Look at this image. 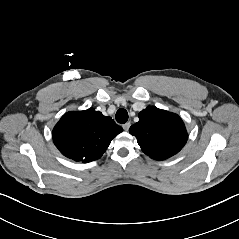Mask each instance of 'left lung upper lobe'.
<instances>
[{
    "label": "left lung upper lobe",
    "instance_id": "5c2ea615",
    "mask_svg": "<svg viewBox=\"0 0 239 239\" xmlns=\"http://www.w3.org/2000/svg\"><path fill=\"white\" fill-rule=\"evenodd\" d=\"M142 151L155 160H165L178 153L188 134L175 113L148 106L139 113V121L129 129Z\"/></svg>",
    "mask_w": 239,
    "mask_h": 239
}]
</instances>
